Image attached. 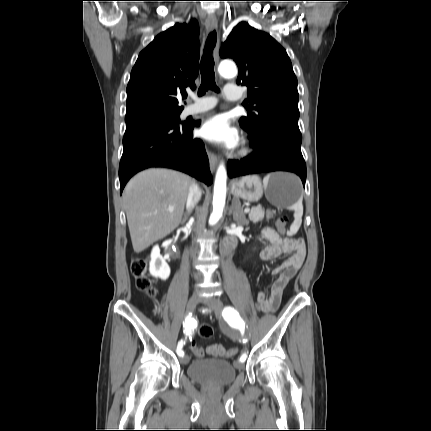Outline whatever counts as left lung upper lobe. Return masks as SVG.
Masks as SVG:
<instances>
[{
	"label": "left lung upper lobe",
	"mask_w": 431,
	"mask_h": 431,
	"mask_svg": "<svg viewBox=\"0 0 431 431\" xmlns=\"http://www.w3.org/2000/svg\"><path fill=\"white\" fill-rule=\"evenodd\" d=\"M238 65L237 84L246 86L250 103L240 125L251 139L271 126L299 131L297 78L285 49L269 34L238 24L220 50Z\"/></svg>",
	"instance_id": "obj_1"
}]
</instances>
